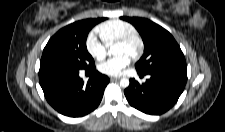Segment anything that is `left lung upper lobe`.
I'll return each instance as SVG.
<instances>
[{"label": "left lung upper lobe", "mask_w": 225, "mask_h": 132, "mask_svg": "<svg viewBox=\"0 0 225 132\" xmlns=\"http://www.w3.org/2000/svg\"><path fill=\"white\" fill-rule=\"evenodd\" d=\"M121 19L133 24L144 42V55L135 65L137 72L147 74L157 69H186L184 55L167 30L145 18Z\"/></svg>", "instance_id": "obj_1"}]
</instances>
